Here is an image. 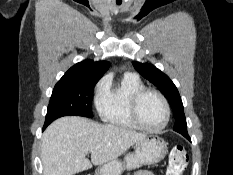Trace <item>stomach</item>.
I'll list each match as a JSON object with an SVG mask.
<instances>
[{
  "mask_svg": "<svg viewBox=\"0 0 233 175\" xmlns=\"http://www.w3.org/2000/svg\"><path fill=\"white\" fill-rule=\"evenodd\" d=\"M167 154L166 142L158 136H146L135 144L134 152L128 153L124 161L115 159L99 166L95 175H121L124 170H133L142 165L156 164Z\"/></svg>",
  "mask_w": 233,
  "mask_h": 175,
  "instance_id": "0dacf381",
  "label": "stomach"
}]
</instances>
